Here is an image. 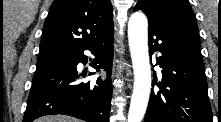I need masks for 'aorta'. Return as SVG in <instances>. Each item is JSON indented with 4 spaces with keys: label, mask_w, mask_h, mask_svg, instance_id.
Returning a JSON list of instances; mask_svg holds the SVG:
<instances>
[{
    "label": "aorta",
    "mask_w": 221,
    "mask_h": 122,
    "mask_svg": "<svg viewBox=\"0 0 221 122\" xmlns=\"http://www.w3.org/2000/svg\"><path fill=\"white\" fill-rule=\"evenodd\" d=\"M128 40L134 70V88L128 122H141L146 112L151 90L148 21L142 12H135L129 18Z\"/></svg>",
    "instance_id": "1"
}]
</instances>
